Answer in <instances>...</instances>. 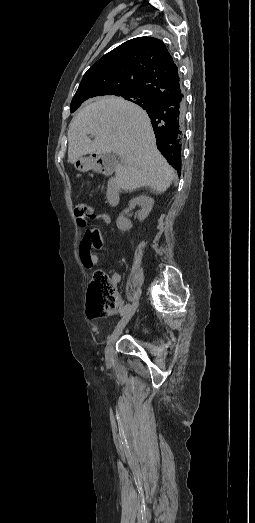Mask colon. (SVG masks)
<instances>
[{"label":"colon","mask_w":255,"mask_h":523,"mask_svg":"<svg viewBox=\"0 0 255 523\" xmlns=\"http://www.w3.org/2000/svg\"><path fill=\"white\" fill-rule=\"evenodd\" d=\"M75 214L81 225H86L93 218L90 205L82 203L75 207ZM120 300L115 286L102 269L93 272L87 294V315L89 318L107 316L118 311Z\"/></svg>","instance_id":"obj_1"}]
</instances>
